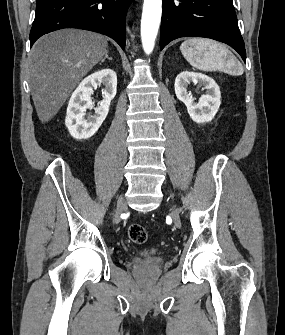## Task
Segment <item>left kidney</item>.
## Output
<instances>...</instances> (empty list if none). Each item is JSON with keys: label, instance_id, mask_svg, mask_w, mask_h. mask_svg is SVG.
Listing matches in <instances>:
<instances>
[{"label": "left kidney", "instance_id": "5707ae66", "mask_svg": "<svg viewBox=\"0 0 285 335\" xmlns=\"http://www.w3.org/2000/svg\"><path fill=\"white\" fill-rule=\"evenodd\" d=\"M190 82L201 84V86H205L204 90H207L205 96L199 98L198 104H195L194 98L187 92ZM174 88L178 100L185 104L193 122L204 124V122L213 120L221 104V92L215 80L205 74H197V72H181L175 80Z\"/></svg>", "mask_w": 285, "mask_h": 335}]
</instances>
